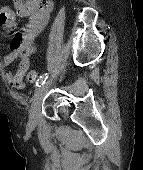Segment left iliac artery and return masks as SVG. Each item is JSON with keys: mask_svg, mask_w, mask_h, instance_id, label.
<instances>
[{"mask_svg": "<svg viewBox=\"0 0 143 170\" xmlns=\"http://www.w3.org/2000/svg\"><path fill=\"white\" fill-rule=\"evenodd\" d=\"M47 78H48V73H45L42 76H40V78L36 82V86L38 88L41 87L46 82Z\"/></svg>", "mask_w": 143, "mask_h": 170, "instance_id": "44dca946", "label": "left iliac artery"}]
</instances>
